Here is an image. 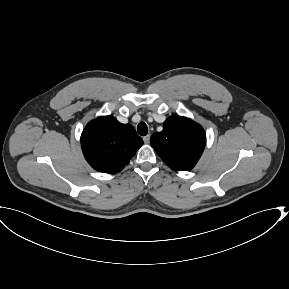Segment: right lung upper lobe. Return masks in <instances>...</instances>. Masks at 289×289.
I'll use <instances>...</instances> for the list:
<instances>
[{
  "label": "right lung upper lobe",
  "instance_id": "cb5924a9",
  "mask_svg": "<svg viewBox=\"0 0 289 289\" xmlns=\"http://www.w3.org/2000/svg\"><path fill=\"white\" fill-rule=\"evenodd\" d=\"M142 144L143 140L131 124H121L113 116L91 121L81 134L87 162L103 173L121 171Z\"/></svg>",
  "mask_w": 289,
  "mask_h": 289
}]
</instances>
